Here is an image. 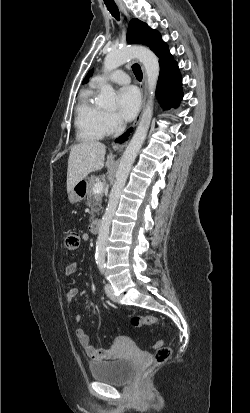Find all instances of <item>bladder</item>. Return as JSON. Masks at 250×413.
Wrapping results in <instances>:
<instances>
[{"label": "bladder", "mask_w": 250, "mask_h": 413, "mask_svg": "<svg viewBox=\"0 0 250 413\" xmlns=\"http://www.w3.org/2000/svg\"><path fill=\"white\" fill-rule=\"evenodd\" d=\"M94 380L111 385L125 384L134 372V364L130 359L117 358L111 361H97L89 365Z\"/></svg>", "instance_id": "bladder-1"}]
</instances>
